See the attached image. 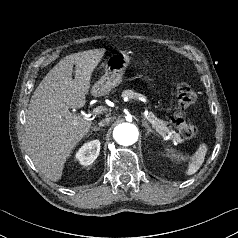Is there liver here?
<instances>
[{"label":"liver","instance_id":"1","mask_svg":"<svg viewBox=\"0 0 238 238\" xmlns=\"http://www.w3.org/2000/svg\"><path fill=\"white\" fill-rule=\"evenodd\" d=\"M105 51L67 55L48 72L31 97L25 143L37 168L52 181L61 178L67 158L91 128L89 119L73 114L70 108L85 105L92 73Z\"/></svg>","mask_w":238,"mask_h":238}]
</instances>
